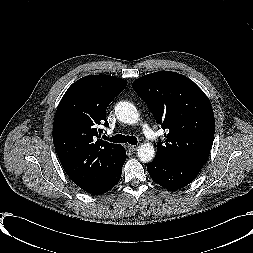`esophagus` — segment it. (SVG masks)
I'll return each mask as SVG.
<instances>
[{
	"instance_id": "1",
	"label": "esophagus",
	"mask_w": 253,
	"mask_h": 253,
	"mask_svg": "<svg viewBox=\"0 0 253 253\" xmlns=\"http://www.w3.org/2000/svg\"><path fill=\"white\" fill-rule=\"evenodd\" d=\"M127 148L131 151L134 152L137 149V146L135 145H127Z\"/></svg>"
}]
</instances>
